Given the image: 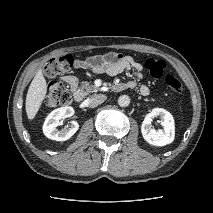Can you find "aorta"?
Segmentation results:
<instances>
[{"mask_svg":"<svg viewBox=\"0 0 213 213\" xmlns=\"http://www.w3.org/2000/svg\"><path fill=\"white\" fill-rule=\"evenodd\" d=\"M118 104L121 107H127L130 104V98L127 95H122L118 98Z\"/></svg>","mask_w":213,"mask_h":213,"instance_id":"762f6f07","label":"aorta"}]
</instances>
